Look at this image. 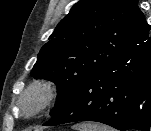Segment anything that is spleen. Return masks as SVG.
<instances>
[{"instance_id": "3e777b00", "label": "spleen", "mask_w": 151, "mask_h": 131, "mask_svg": "<svg viewBox=\"0 0 151 131\" xmlns=\"http://www.w3.org/2000/svg\"><path fill=\"white\" fill-rule=\"evenodd\" d=\"M75 131H115L113 128L98 123H81L72 127Z\"/></svg>"}]
</instances>
